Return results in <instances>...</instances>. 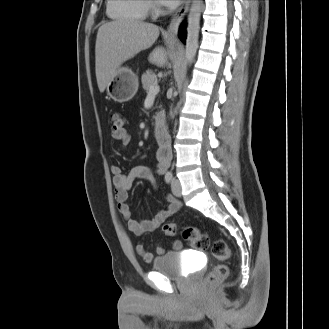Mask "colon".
<instances>
[{
	"instance_id": "1",
	"label": "colon",
	"mask_w": 329,
	"mask_h": 329,
	"mask_svg": "<svg viewBox=\"0 0 329 329\" xmlns=\"http://www.w3.org/2000/svg\"><path fill=\"white\" fill-rule=\"evenodd\" d=\"M127 124V119L120 113L111 114V132L114 136H121ZM162 232L166 236H175L178 232V225L176 223H165L162 226ZM182 236L192 247L207 250L210 247L209 236L202 232L199 228L188 226L184 228ZM212 254L220 261H225L229 258L230 252L223 240H217L212 245ZM229 274L227 265L220 263L215 265L212 270L207 274L205 283L213 285L222 282Z\"/></svg>"
}]
</instances>
